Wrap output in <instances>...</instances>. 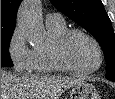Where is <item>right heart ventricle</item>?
I'll return each mask as SVG.
<instances>
[{"label": "right heart ventricle", "mask_w": 115, "mask_h": 99, "mask_svg": "<svg viewBox=\"0 0 115 99\" xmlns=\"http://www.w3.org/2000/svg\"><path fill=\"white\" fill-rule=\"evenodd\" d=\"M46 28L50 38L49 44L33 50V60L30 70L37 74H49L59 71L51 58V48L54 41L68 29L65 22L46 23Z\"/></svg>", "instance_id": "e07e8e85"}]
</instances>
